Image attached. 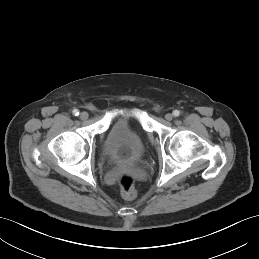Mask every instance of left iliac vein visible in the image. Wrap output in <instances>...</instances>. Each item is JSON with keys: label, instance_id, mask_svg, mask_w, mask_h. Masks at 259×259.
I'll return each instance as SVG.
<instances>
[{"label": "left iliac vein", "instance_id": "left-iliac-vein-1", "mask_svg": "<svg viewBox=\"0 0 259 259\" xmlns=\"http://www.w3.org/2000/svg\"><path fill=\"white\" fill-rule=\"evenodd\" d=\"M165 119H166L167 121H171V120L173 119V114H172V113H167V114L165 115Z\"/></svg>", "mask_w": 259, "mask_h": 259}]
</instances>
